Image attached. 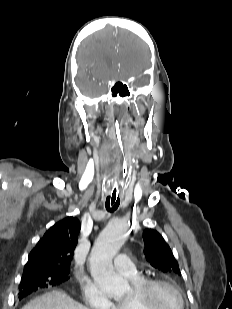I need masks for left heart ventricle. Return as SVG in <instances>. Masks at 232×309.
I'll return each instance as SVG.
<instances>
[{
  "instance_id": "obj_1",
  "label": "left heart ventricle",
  "mask_w": 232,
  "mask_h": 309,
  "mask_svg": "<svg viewBox=\"0 0 232 309\" xmlns=\"http://www.w3.org/2000/svg\"><path fill=\"white\" fill-rule=\"evenodd\" d=\"M155 303L159 309H180L181 301L178 294L166 286L155 291Z\"/></svg>"
}]
</instances>
